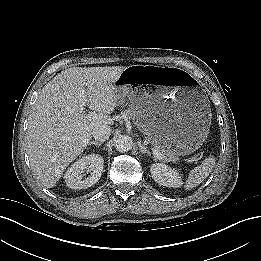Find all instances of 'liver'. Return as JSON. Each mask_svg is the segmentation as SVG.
<instances>
[{
	"label": "liver",
	"instance_id": "6515ba94",
	"mask_svg": "<svg viewBox=\"0 0 261 261\" xmlns=\"http://www.w3.org/2000/svg\"><path fill=\"white\" fill-rule=\"evenodd\" d=\"M124 66L71 67L39 93L29 115L27 148L39 182L52 188L88 146L92 132L114 123L116 82ZM92 111L86 112L85 107Z\"/></svg>",
	"mask_w": 261,
	"mask_h": 261
}]
</instances>
